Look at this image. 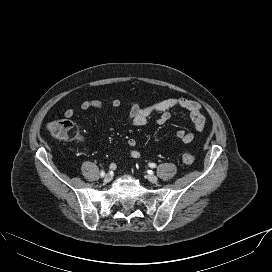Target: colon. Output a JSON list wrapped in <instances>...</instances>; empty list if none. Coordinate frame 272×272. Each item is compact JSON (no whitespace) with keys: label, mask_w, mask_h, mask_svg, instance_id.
<instances>
[{"label":"colon","mask_w":272,"mask_h":272,"mask_svg":"<svg viewBox=\"0 0 272 272\" xmlns=\"http://www.w3.org/2000/svg\"><path fill=\"white\" fill-rule=\"evenodd\" d=\"M48 131L52 137L63 141H71L79 137L77 126L73 121L65 118L52 121L48 125ZM194 160V155L191 153L186 152L182 155L185 164H192Z\"/></svg>","instance_id":"colon-1"}]
</instances>
